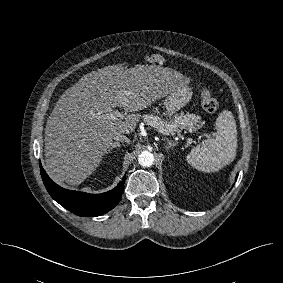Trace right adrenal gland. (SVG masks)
I'll return each mask as SVG.
<instances>
[{"instance_id":"2a0ac1e0","label":"right adrenal gland","mask_w":283,"mask_h":283,"mask_svg":"<svg viewBox=\"0 0 283 283\" xmlns=\"http://www.w3.org/2000/svg\"><path fill=\"white\" fill-rule=\"evenodd\" d=\"M121 146V144H120V142H115V143H113L112 144V146L109 148V150H108V153H110V151L112 150V149H115V148H119Z\"/></svg>"}]
</instances>
